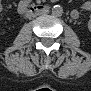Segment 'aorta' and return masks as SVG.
<instances>
[{
  "label": "aorta",
  "instance_id": "aorta-1",
  "mask_svg": "<svg viewBox=\"0 0 91 91\" xmlns=\"http://www.w3.org/2000/svg\"><path fill=\"white\" fill-rule=\"evenodd\" d=\"M52 14L55 17H60L63 14V8L60 5H55L52 8Z\"/></svg>",
  "mask_w": 91,
  "mask_h": 91
}]
</instances>
